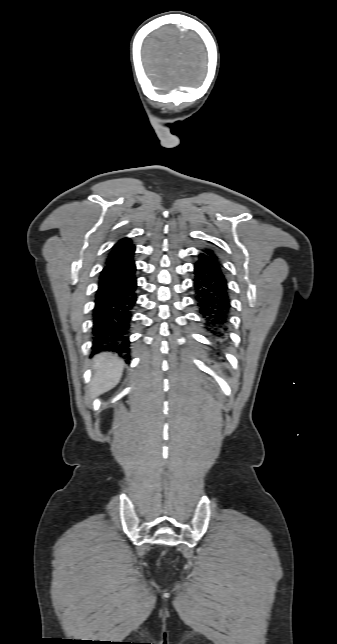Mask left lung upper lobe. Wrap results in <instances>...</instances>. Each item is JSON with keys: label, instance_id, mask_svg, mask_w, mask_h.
<instances>
[{"label": "left lung upper lobe", "instance_id": "obj_1", "mask_svg": "<svg viewBox=\"0 0 337 644\" xmlns=\"http://www.w3.org/2000/svg\"><path fill=\"white\" fill-rule=\"evenodd\" d=\"M202 251L219 259L217 254L212 249H203Z\"/></svg>", "mask_w": 337, "mask_h": 644}]
</instances>
